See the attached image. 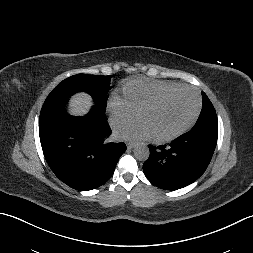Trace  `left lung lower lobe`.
Segmentation results:
<instances>
[{
    "instance_id": "0a47b994",
    "label": "left lung lower lobe",
    "mask_w": 253,
    "mask_h": 253,
    "mask_svg": "<svg viewBox=\"0 0 253 253\" xmlns=\"http://www.w3.org/2000/svg\"><path fill=\"white\" fill-rule=\"evenodd\" d=\"M218 131L192 128L169 145H148L143 164L146 177L157 187L177 190L196 181L208 167L217 144Z\"/></svg>"
}]
</instances>
